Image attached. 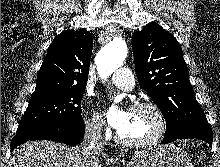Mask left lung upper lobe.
Listing matches in <instances>:
<instances>
[{
	"mask_svg": "<svg viewBox=\"0 0 220 167\" xmlns=\"http://www.w3.org/2000/svg\"><path fill=\"white\" fill-rule=\"evenodd\" d=\"M132 39L138 81L165 117V137L209 125L195 98L176 38L157 23H149Z\"/></svg>",
	"mask_w": 220,
	"mask_h": 167,
	"instance_id": "1",
	"label": "left lung upper lobe"
}]
</instances>
